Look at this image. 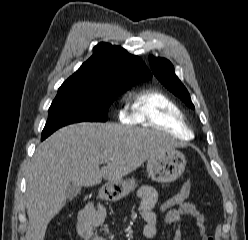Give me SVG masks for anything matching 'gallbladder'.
<instances>
[{"instance_id":"bac80fb5","label":"gallbladder","mask_w":248,"mask_h":240,"mask_svg":"<svg viewBox=\"0 0 248 240\" xmlns=\"http://www.w3.org/2000/svg\"><path fill=\"white\" fill-rule=\"evenodd\" d=\"M81 191V186L71 184L69 187L66 189V196L68 199L72 200L75 198L78 194H80Z\"/></svg>"}]
</instances>
